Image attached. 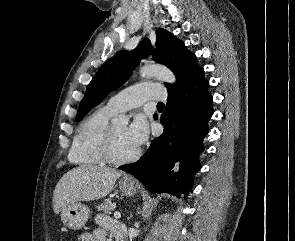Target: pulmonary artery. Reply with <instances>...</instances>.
Returning <instances> with one entry per match:
<instances>
[{"label":"pulmonary artery","instance_id":"obj_1","mask_svg":"<svg viewBox=\"0 0 295 241\" xmlns=\"http://www.w3.org/2000/svg\"><path fill=\"white\" fill-rule=\"evenodd\" d=\"M164 87L156 83H140L126 88L111 97L106 107L114 112H123L139 107L147 100H165Z\"/></svg>","mask_w":295,"mask_h":241}]
</instances>
